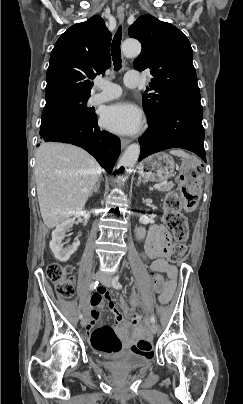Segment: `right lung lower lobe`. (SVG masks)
<instances>
[{
	"instance_id": "right-lung-lower-lobe-1",
	"label": "right lung lower lobe",
	"mask_w": 243,
	"mask_h": 404,
	"mask_svg": "<svg viewBox=\"0 0 243 404\" xmlns=\"http://www.w3.org/2000/svg\"><path fill=\"white\" fill-rule=\"evenodd\" d=\"M40 140L71 143L88 151L111 173L120 154V139L100 130L97 117L66 114L41 125Z\"/></svg>"
}]
</instances>
